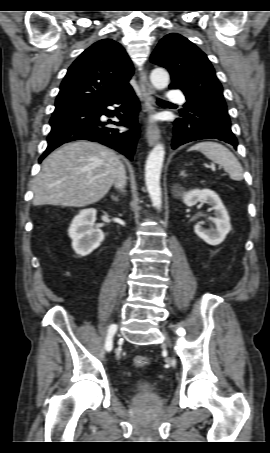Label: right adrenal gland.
Here are the masks:
<instances>
[{
    "label": "right adrenal gland",
    "mask_w": 270,
    "mask_h": 453,
    "mask_svg": "<svg viewBox=\"0 0 270 453\" xmlns=\"http://www.w3.org/2000/svg\"><path fill=\"white\" fill-rule=\"evenodd\" d=\"M111 199L115 202H118L120 199L118 196L111 195Z\"/></svg>",
    "instance_id": "2a0ac1e0"
}]
</instances>
